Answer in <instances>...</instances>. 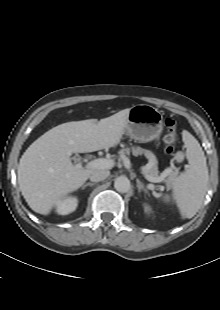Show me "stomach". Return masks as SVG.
Here are the masks:
<instances>
[{"label":"stomach","instance_id":"1","mask_svg":"<svg viewBox=\"0 0 220 310\" xmlns=\"http://www.w3.org/2000/svg\"><path fill=\"white\" fill-rule=\"evenodd\" d=\"M163 130L161 112L147 104H138L130 108L124 133L140 142H149L158 138Z\"/></svg>","mask_w":220,"mask_h":310}]
</instances>
